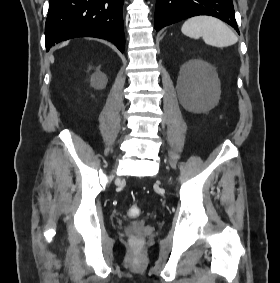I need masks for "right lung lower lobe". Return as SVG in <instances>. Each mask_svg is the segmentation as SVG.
Masks as SVG:
<instances>
[{
	"mask_svg": "<svg viewBox=\"0 0 280 283\" xmlns=\"http://www.w3.org/2000/svg\"><path fill=\"white\" fill-rule=\"evenodd\" d=\"M123 3L124 0H49L47 51L70 38L95 37L111 41L123 53Z\"/></svg>",
	"mask_w": 280,
	"mask_h": 283,
	"instance_id": "obj_1",
	"label": "right lung lower lobe"
}]
</instances>
